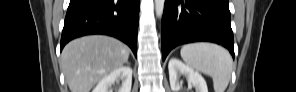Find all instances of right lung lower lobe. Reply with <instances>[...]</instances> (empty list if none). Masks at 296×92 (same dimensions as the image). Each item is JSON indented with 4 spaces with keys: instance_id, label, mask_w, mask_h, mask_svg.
Segmentation results:
<instances>
[{
    "instance_id": "obj_1",
    "label": "right lung lower lobe",
    "mask_w": 296,
    "mask_h": 92,
    "mask_svg": "<svg viewBox=\"0 0 296 92\" xmlns=\"http://www.w3.org/2000/svg\"><path fill=\"white\" fill-rule=\"evenodd\" d=\"M140 0H70L61 37V50L70 40L105 34L126 43L137 56Z\"/></svg>"
}]
</instances>
